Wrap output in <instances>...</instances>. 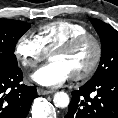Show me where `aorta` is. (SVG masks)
Wrapping results in <instances>:
<instances>
[{
	"instance_id": "1",
	"label": "aorta",
	"mask_w": 118,
	"mask_h": 118,
	"mask_svg": "<svg viewBox=\"0 0 118 118\" xmlns=\"http://www.w3.org/2000/svg\"><path fill=\"white\" fill-rule=\"evenodd\" d=\"M53 103L58 108H66L70 103V98L67 93L60 91L54 94Z\"/></svg>"
}]
</instances>
